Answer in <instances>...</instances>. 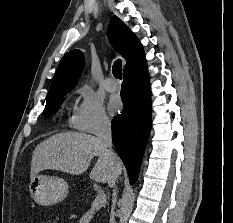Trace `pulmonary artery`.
I'll return each mask as SVG.
<instances>
[{"label":"pulmonary artery","instance_id":"pulmonary-artery-1","mask_svg":"<svg viewBox=\"0 0 233 223\" xmlns=\"http://www.w3.org/2000/svg\"><path fill=\"white\" fill-rule=\"evenodd\" d=\"M105 88L109 92H115L117 90V85L113 78H107L105 80Z\"/></svg>","mask_w":233,"mask_h":223}]
</instances>
